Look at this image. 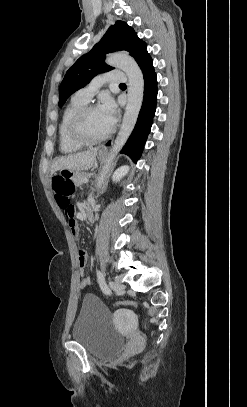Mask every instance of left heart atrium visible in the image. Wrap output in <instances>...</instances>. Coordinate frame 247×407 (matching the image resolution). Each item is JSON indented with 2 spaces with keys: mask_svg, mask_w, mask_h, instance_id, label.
<instances>
[{
  "mask_svg": "<svg viewBox=\"0 0 247 407\" xmlns=\"http://www.w3.org/2000/svg\"><path fill=\"white\" fill-rule=\"evenodd\" d=\"M99 110L103 117L105 118L106 122L110 127L116 123L117 120V106L112 98L106 96L102 100V104L99 107Z\"/></svg>",
  "mask_w": 247,
  "mask_h": 407,
  "instance_id": "1",
  "label": "left heart atrium"
}]
</instances>
